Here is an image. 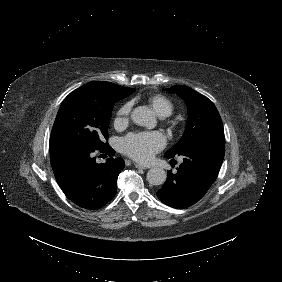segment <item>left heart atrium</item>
<instances>
[{"label":"left heart atrium","mask_w":282,"mask_h":282,"mask_svg":"<svg viewBox=\"0 0 282 282\" xmlns=\"http://www.w3.org/2000/svg\"><path fill=\"white\" fill-rule=\"evenodd\" d=\"M121 146L124 153L144 163L163 148L164 138L157 132L130 134L121 140Z\"/></svg>","instance_id":"39dd6f15"}]
</instances>
